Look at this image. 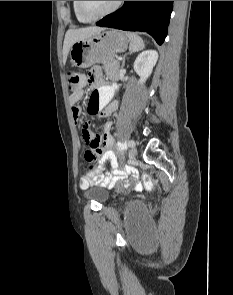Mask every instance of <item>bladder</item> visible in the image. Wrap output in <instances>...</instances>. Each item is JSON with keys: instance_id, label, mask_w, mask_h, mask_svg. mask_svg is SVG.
<instances>
[{"instance_id": "obj_1", "label": "bladder", "mask_w": 233, "mask_h": 295, "mask_svg": "<svg viewBox=\"0 0 233 295\" xmlns=\"http://www.w3.org/2000/svg\"><path fill=\"white\" fill-rule=\"evenodd\" d=\"M85 196L89 199L95 200L99 203H105L108 200V192L102 187H92L85 192ZM132 212L141 211V206L134 205L131 207Z\"/></svg>"}]
</instances>
